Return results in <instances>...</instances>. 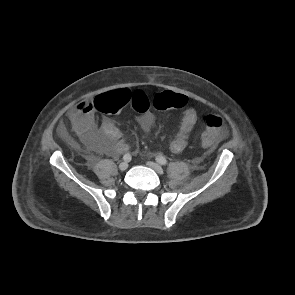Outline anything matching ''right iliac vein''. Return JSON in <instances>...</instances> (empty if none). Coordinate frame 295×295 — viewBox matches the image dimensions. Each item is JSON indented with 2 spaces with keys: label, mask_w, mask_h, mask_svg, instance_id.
Instances as JSON below:
<instances>
[{
  "label": "right iliac vein",
  "mask_w": 295,
  "mask_h": 295,
  "mask_svg": "<svg viewBox=\"0 0 295 295\" xmlns=\"http://www.w3.org/2000/svg\"><path fill=\"white\" fill-rule=\"evenodd\" d=\"M128 168V163L125 161V162H121L120 164H119V169L121 170V171H124V170H126Z\"/></svg>",
  "instance_id": "obj_1"
}]
</instances>
